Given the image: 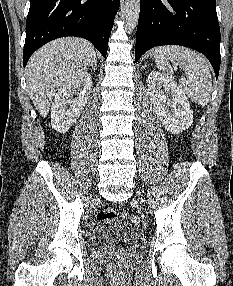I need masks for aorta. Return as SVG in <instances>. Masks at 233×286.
<instances>
[{
	"label": "aorta",
	"instance_id": "762f6f07",
	"mask_svg": "<svg viewBox=\"0 0 233 286\" xmlns=\"http://www.w3.org/2000/svg\"><path fill=\"white\" fill-rule=\"evenodd\" d=\"M140 13V0H125L126 27L132 32L137 26Z\"/></svg>",
	"mask_w": 233,
	"mask_h": 286
}]
</instances>
